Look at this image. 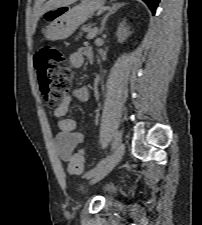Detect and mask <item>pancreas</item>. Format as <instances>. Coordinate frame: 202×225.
<instances>
[{"label":"pancreas","mask_w":202,"mask_h":225,"mask_svg":"<svg viewBox=\"0 0 202 225\" xmlns=\"http://www.w3.org/2000/svg\"><path fill=\"white\" fill-rule=\"evenodd\" d=\"M91 30V26H82L81 27V31H80V35H82L83 32H87V31H90Z\"/></svg>","instance_id":"obj_1"}]
</instances>
